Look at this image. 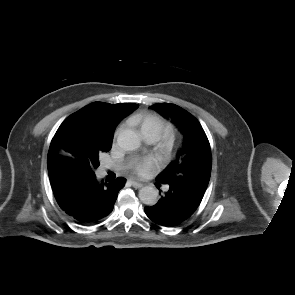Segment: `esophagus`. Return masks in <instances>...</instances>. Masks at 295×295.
<instances>
[{"instance_id":"1","label":"esophagus","mask_w":295,"mask_h":295,"mask_svg":"<svg viewBox=\"0 0 295 295\" xmlns=\"http://www.w3.org/2000/svg\"><path fill=\"white\" fill-rule=\"evenodd\" d=\"M131 183H132V185H133L134 188H141L143 186L142 183L137 182L135 180H131Z\"/></svg>"}]
</instances>
